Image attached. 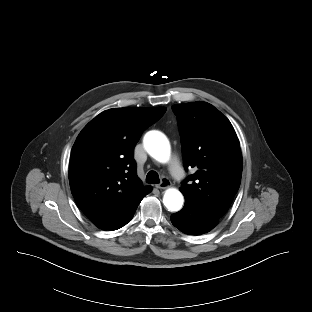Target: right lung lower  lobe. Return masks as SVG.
Masks as SVG:
<instances>
[{
	"label": "right lung lower lobe",
	"instance_id": "obj_1",
	"mask_svg": "<svg viewBox=\"0 0 312 312\" xmlns=\"http://www.w3.org/2000/svg\"><path fill=\"white\" fill-rule=\"evenodd\" d=\"M150 191H151V188L147 191V193H146L145 195H147ZM136 209H137V208H136ZM135 211H136V210H135ZM135 211H134V213H135ZM134 213L122 224V226H124L125 224H127V223L132 219ZM122 226H121V227H122ZM121 227H119V228H121ZM119 228H118V229H119Z\"/></svg>",
	"mask_w": 312,
	"mask_h": 312
}]
</instances>
